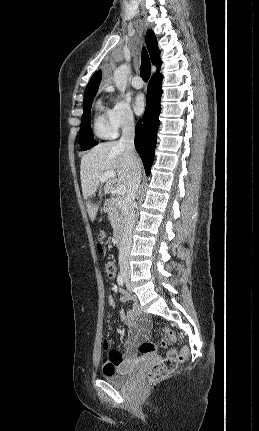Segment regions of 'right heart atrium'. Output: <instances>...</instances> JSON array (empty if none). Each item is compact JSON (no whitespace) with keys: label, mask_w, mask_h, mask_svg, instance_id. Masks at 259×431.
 Wrapping results in <instances>:
<instances>
[{"label":"right heart atrium","mask_w":259,"mask_h":431,"mask_svg":"<svg viewBox=\"0 0 259 431\" xmlns=\"http://www.w3.org/2000/svg\"><path fill=\"white\" fill-rule=\"evenodd\" d=\"M109 124L115 134L125 128H130L135 124V117L128 102L122 99H115L112 106L107 111Z\"/></svg>","instance_id":"d8ad5b80"}]
</instances>
